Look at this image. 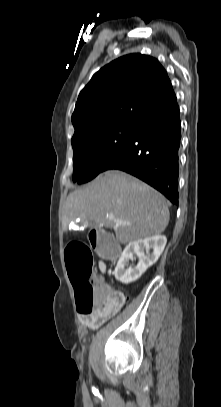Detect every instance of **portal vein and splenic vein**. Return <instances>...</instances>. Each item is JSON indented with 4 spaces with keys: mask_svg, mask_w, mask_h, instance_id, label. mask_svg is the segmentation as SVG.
<instances>
[{
    "mask_svg": "<svg viewBox=\"0 0 221 407\" xmlns=\"http://www.w3.org/2000/svg\"><path fill=\"white\" fill-rule=\"evenodd\" d=\"M107 217L108 218H110V219H114V216L113 215H107ZM120 225H124V226H126V225H130V223H125V222H118Z\"/></svg>",
    "mask_w": 221,
    "mask_h": 407,
    "instance_id": "obj_1",
    "label": "portal vein and splenic vein"
}]
</instances>
